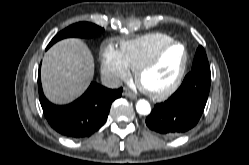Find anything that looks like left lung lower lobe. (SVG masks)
<instances>
[{
	"instance_id": "1",
	"label": "left lung lower lobe",
	"mask_w": 249,
	"mask_h": 165,
	"mask_svg": "<svg viewBox=\"0 0 249 165\" xmlns=\"http://www.w3.org/2000/svg\"><path fill=\"white\" fill-rule=\"evenodd\" d=\"M211 72L192 70L178 90L154 106L146 118L149 129L166 137H178L199 121L209 94Z\"/></svg>"
}]
</instances>
